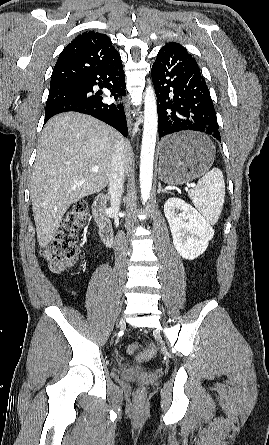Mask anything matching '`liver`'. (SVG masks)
<instances>
[{"instance_id":"1","label":"liver","mask_w":269,"mask_h":445,"mask_svg":"<svg viewBox=\"0 0 269 445\" xmlns=\"http://www.w3.org/2000/svg\"><path fill=\"white\" fill-rule=\"evenodd\" d=\"M117 142L124 146V163L129 169L130 144L105 123L67 112L45 125L31 177L32 210L41 247L53 239L73 203L107 186ZM94 167L97 172L92 171Z\"/></svg>"}]
</instances>
